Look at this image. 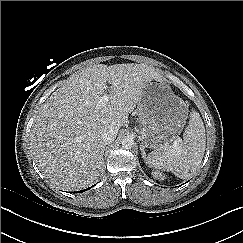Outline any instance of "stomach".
Segmentation results:
<instances>
[{
    "label": "stomach",
    "instance_id": "obj_1",
    "mask_svg": "<svg viewBox=\"0 0 243 243\" xmlns=\"http://www.w3.org/2000/svg\"><path fill=\"white\" fill-rule=\"evenodd\" d=\"M188 111V104L162 78L153 79L138 104L143 146L158 150L174 142L186 124Z\"/></svg>",
    "mask_w": 243,
    "mask_h": 243
}]
</instances>
